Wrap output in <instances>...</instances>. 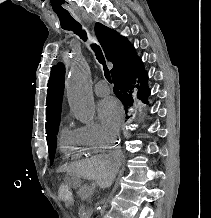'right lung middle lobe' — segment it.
Returning a JSON list of instances; mask_svg holds the SVG:
<instances>
[{
	"mask_svg": "<svg viewBox=\"0 0 211 218\" xmlns=\"http://www.w3.org/2000/svg\"><path fill=\"white\" fill-rule=\"evenodd\" d=\"M120 101L124 105L126 113L128 111L127 110L128 106H131L133 104V102H134L132 97H124V98H121ZM126 118H129V117L126 116ZM59 123H60V120L56 122V124L53 127L52 131L47 135V143H48V149H49V156H50V163L51 164L53 163L54 154H55L56 146H57L56 134L58 132Z\"/></svg>",
	"mask_w": 211,
	"mask_h": 218,
	"instance_id": "1",
	"label": "right lung middle lobe"
}]
</instances>
